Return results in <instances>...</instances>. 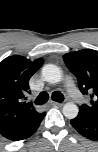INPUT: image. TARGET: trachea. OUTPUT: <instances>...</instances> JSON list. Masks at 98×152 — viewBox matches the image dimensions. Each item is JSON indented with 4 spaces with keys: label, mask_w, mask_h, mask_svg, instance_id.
<instances>
[{
    "label": "trachea",
    "mask_w": 98,
    "mask_h": 152,
    "mask_svg": "<svg viewBox=\"0 0 98 152\" xmlns=\"http://www.w3.org/2000/svg\"><path fill=\"white\" fill-rule=\"evenodd\" d=\"M49 99V95L47 92H41L35 100V104L41 105L45 104ZM52 100L56 102H62L64 100V96L61 92L55 91L52 93Z\"/></svg>",
    "instance_id": "3493384b"
}]
</instances>
